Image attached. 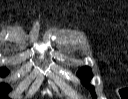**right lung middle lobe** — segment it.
Masks as SVG:
<instances>
[{"mask_svg": "<svg viewBox=\"0 0 128 99\" xmlns=\"http://www.w3.org/2000/svg\"><path fill=\"white\" fill-rule=\"evenodd\" d=\"M8 73L7 69H0V74L5 75ZM11 89L9 86L5 84H0V96H4L7 92H9Z\"/></svg>", "mask_w": 128, "mask_h": 99, "instance_id": "right-lung-middle-lobe-1", "label": "right lung middle lobe"}]
</instances>
